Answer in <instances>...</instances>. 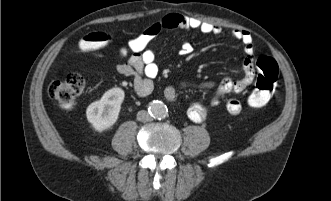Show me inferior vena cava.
Here are the masks:
<instances>
[{"instance_id":"1","label":"inferior vena cava","mask_w":331,"mask_h":201,"mask_svg":"<svg viewBox=\"0 0 331 201\" xmlns=\"http://www.w3.org/2000/svg\"><path fill=\"white\" fill-rule=\"evenodd\" d=\"M137 120L140 122H149L152 120V116L146 110H141L137 113Z\"/></svg>"}]
</instances>
